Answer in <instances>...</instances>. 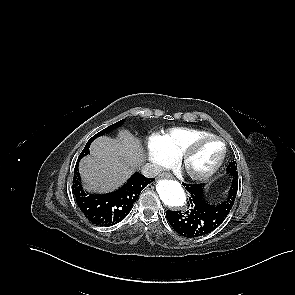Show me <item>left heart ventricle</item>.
Wrapping results in <instances>:
<instances>
[{"label": "left heart ventricle", "instance_id": "b2bd125f", "mask_svg": "<svg viewBox=\"0 0 295 295\" xmlns=\"http://www.w3.org/2000/svg\"><path fill=\"white\" fill-rule=\"evenodd\" d=\"M221 153V145L217 141H207L200 145L188 162V169L201 173L210 169Z\"/></svg>", "mask_w": 295, "mask_h": 295}]
</instances>
